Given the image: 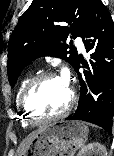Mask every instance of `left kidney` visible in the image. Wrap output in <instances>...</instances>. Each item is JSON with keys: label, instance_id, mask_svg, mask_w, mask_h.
Segmentation results:
<instances>
[{"label": "left kidney", "instance_id": "left-kidney-1", "mask_svg": "<svg viewBox=\"0 0 114 156\" xmlns=\"http://www.w3.org/2000/svg\"><path fill=\"white\" fill-rule=\"evenodd\" d=\"M77 156H107V151L105 146L96 142L84 146Z\"/></svg>", "mask_w": 114, "mask_h": 156}]
</instances>
